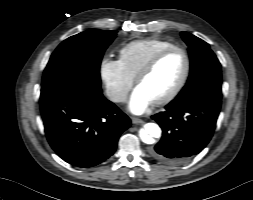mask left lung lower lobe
<instances>
[{
	"instance_id": "1",
	"label": "left lung lower lobe",
	"mask_w": 253,
	"mask_h": 200,
	"mask_svg": "<svg viewBox=\"0 0 253 200\" xmlns=\"http://www.w3.org/2000/svg\"><path fill=\"white\" fill-rule=\"evenodd\" d=\"M222 94L206 91L185 102L172 101L152 116L162 128L151 156L166 164H180L198 154L210 141L220 112Z\"/></svg>"
}]
</instances>
